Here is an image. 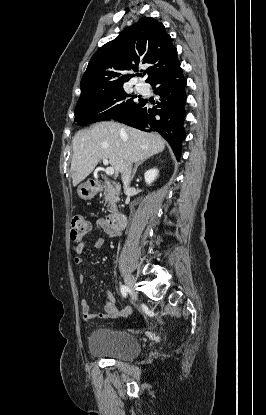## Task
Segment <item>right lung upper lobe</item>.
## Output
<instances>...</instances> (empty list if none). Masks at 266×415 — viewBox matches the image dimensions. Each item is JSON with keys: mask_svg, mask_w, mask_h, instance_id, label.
<instances>
[{"mask_svg": "<svg viewBox=\"0 0 266 415\" xmlns=\"http://www.w3.org/2000/svg\"><path fill=\"white\" fill-rule=\"evenodd\" d=\"M145 63L150 65L148 83L180 65L165 27L151 17L141 18L96 51L81 79L80 98L123 86L134 76L123 72L137 71L138 65Z\"/></svg>", "mask_w": 266, "mask_h": 415, "instance_id": "right-lung-upper-lobe-1", "label": "right lung upper lobe"}]
</instances>
